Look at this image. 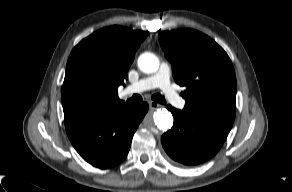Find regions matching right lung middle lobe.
Segmentation results:
<instances>
[{"mask_svg": "<svg viewBox=\"0 0 292 192\" xmlns=\"http://www.w3.org/2000/svg\"><path fill=\"white\" fill-rule=\"evenodd\" d=\"M76 92L80 95H83V94H85L86 89L83 85L80 84L76 87Z\"/></svg>", "mask_w": 292, "mask_h": 192, "instance_id": "dd1d6c3e", "label": "right lung middle lobe"}]
</instances>
